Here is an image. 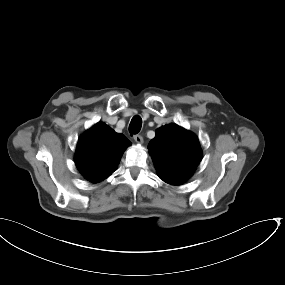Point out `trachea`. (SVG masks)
<instances>
[{
  "instance_id": "1",
  "label": "trachea",
  "mask_w": 285,
  "mask_h": 285,
  "mask_svg": "<svg viewBox=\"0 0 285 285\" xmlns=\"http://www.w3.org/2000/svg\"><path fill=\"white\" fill-rule=\"evenodd\" d=\"M142 126V119L140 116L136 115L132 118L130 125H129V132L132 134L139 133Z\"/></svg>"
}]
</instances>
